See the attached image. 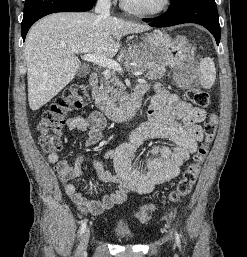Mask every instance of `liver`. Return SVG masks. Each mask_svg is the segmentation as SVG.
<instances>
[{
	"mask_svg": "<svg viewBox=\"0 0 247 257\" xmlns=\"http://www.w3.org/2000/svg\"><path fill=\"white\" fill-rule=\"evenodd\" d=\"M148 26L93 13H54L38 21L29 31L24 47L27 64L28 101L38 110L75 77L84 53L114 57L120 39Z\"/></svg>",
	"mask_w": 247,
	"mask_h": 257,
	"instance_id": "6515ba94",
	"label": "liver"
}]
</instances>
